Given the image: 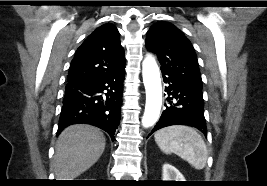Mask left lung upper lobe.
<instances>
[{
  "label": "left lung upper lobe",
  "instance_id": "obj_1",
  "mask_svg": "<svg viewBox=\"0 0 267 186\" xmlns=\"http://www.w3.org/2000/svg\"><path fill=\"white\" fill-rule=\"evenodd\" d=\"M146 47L158 56L161 71L174 74L202 89V79L196 53L190 41L174 25L160 21L147 32Z\"/></svg>",
  "mask_w": 267,
  "mask_h": 186
}]
</instances>
